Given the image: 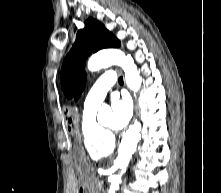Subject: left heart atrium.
Here are the masks:
<instances>
[{"label":"left heart atrium","mask_w":221,"mask_h":193,"mask_svg":"<svg viewBox=\"0 0 221 193\" xmlns=\"http://www.w3.org/2000/svg\"><path fill=\"white\" fill-rule=\"evenodd\" d=\"M113 124L117 129L124 128L132 116V103L126 96H114L111 101Z\"/></svg>","instance_id":"left-heart-atrium-1"}]
</instances>
